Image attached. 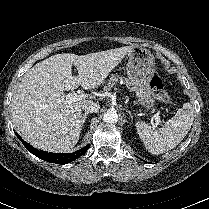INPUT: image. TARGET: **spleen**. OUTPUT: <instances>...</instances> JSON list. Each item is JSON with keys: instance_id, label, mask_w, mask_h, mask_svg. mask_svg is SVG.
Returning a JSON list of instances; mask_svg holds the SVG:
<instances>
[{"instance_id": "obj_1", "label": "spleen", "mask_w": 209, "mask_h": 209, "mask_svg": "<svg viewBox=\"0 0 209 209\" xmlns=\"http://www.w3.org/2000/svg\"><path fill=\"white\" fill-rule=\"evenodd\" d=\"M193 120L194 111L187 102L158 130L142 121L136 123V130L146 149L158 155L175 148L189 132Z\"/></svg>"}]
</instances>
